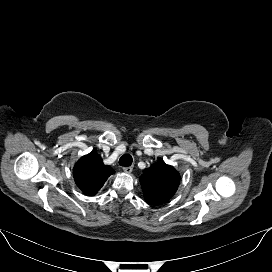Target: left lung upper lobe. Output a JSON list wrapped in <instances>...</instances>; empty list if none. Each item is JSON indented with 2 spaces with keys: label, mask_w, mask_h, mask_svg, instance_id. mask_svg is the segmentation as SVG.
I'll list each match as a JSON object with an SVG mask.
<instances>
[{
  "label": "left lung upper lobe",
  "mask_w": 272,
  "mask_h": 272,
  "mask_svg": "<svg viewBox=\"0 0 272 272\" xmlns=\"http://www.w3.org/2000/svg\"><path fill=\"white\" fill-rule=\"evenodd\" d=\"M179 181V173L164 162L153 164L140 177L144 198L150 205L161 204L170 199L175 194Z\"/></svg>",
  "instance_id": "1"
}]
</instances>
